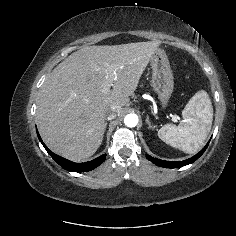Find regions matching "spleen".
<instances>
[{"label": "spleen", "mask_w": 236, "mask_h": 236, "mask_svg": "<svg viewBox=\"0 0 236 236\" xmlns=\"http://www.w3.org/2000/svg\"><path fill=\"white\" fill-rule=\"evenodd\" d=\"M182 117V124H166L158 136L166 144L192 154L201 148L212 125L213 108L207 92H197L186 104Z\"/></svg>", "instance_id": "3e777b00"}]
</instances>
